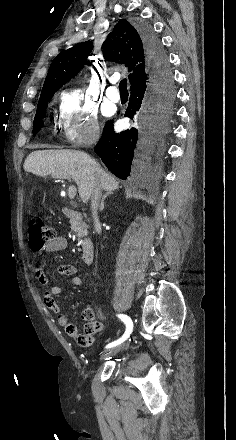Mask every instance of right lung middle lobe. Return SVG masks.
Segmentation results:
<instances>
[{"label":"right lung middle lobe","mask_w":236,"mask_h":440,"mask_svg":"<svg viewBox=\"0 0 236 440\" xmlns=\"http://www.w3.org/2000/svg\"><path fill=\"white\" fill-rule=\"evenodd\" d=\"M53 94L54 92L45 96L42 99H39L37 112L34 118L33 134L37 133L42 128L43 126L42 118L45 117L47 100H49ZM173 98H174V89L172 82L168 81L164 83L162 86L155 89L154 99H155L156 107L167 108L171 104Z\"/></svg>","instance_id":"1"}]
</instances>
